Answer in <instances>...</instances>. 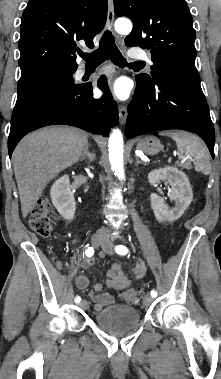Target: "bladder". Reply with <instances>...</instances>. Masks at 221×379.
I'll use <instances>...</instances> for the list:
<instances>
[{
	"mask_svg": "<svg viewBox=\"0 0 221 379\" xmlns=\"http://www.w3.org/2000/svg\"><path fill=\"white\" fill-rule=\"evenodd\" d=\"M94 322L102 330L113 335L125 334L140 323V312L128 305L114 304L97 312Z\"/></svg>",
	"mask_w": 221,
	"mask_h": 379,
	"instance_id": "obj_1",
	"label": "bladder"
}]
</instances>
